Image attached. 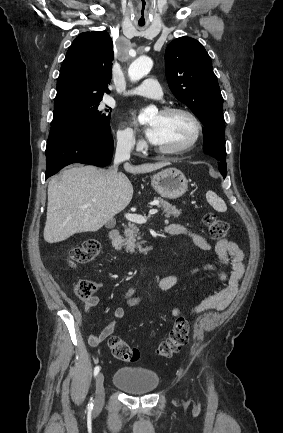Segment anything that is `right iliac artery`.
<instances>
[{"instance_id": "1", "label": "right iliac artery", "mask_w": 283, "mask_h": 433, "mask_svg": "<svg viewBox=\"0 0 283 433\" xmlns=\"http://www.w3.org/2000/svg\"><path fill=\"white\" fill-rule=\"evenodd\" d=\"M99 371H100V367H99V366H96V367L94 368V376H96V375L98 374ZM88 409H89V410H92V409H93V403H92V402H90V403L88 404Z\"/></svg>"}]
</instances>
